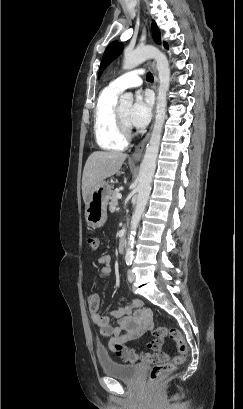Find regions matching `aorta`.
<instances>
[{"label":"aorta","instance_id":"aorta-1","mask_svg":"<svg viewBox=\"0 0 243 409\" xmlns=\"http://www.w3.org/2000/svg\"><path fill=\"white\" fill-rule=\"evenodd\" d=\"M151 58L156 62L159 79L156 115L151 137L146 146L145 154L140 165L138 176L139 183L137 186L138 197L131 220L130 234L125 255L126 258H131L133 255L132 248L134 236L149 199L151 182L156 169V160L166 117L167 93L170 86V67L166 55L153 46L137 47L133 51L126 50L124 52L123 69L125 70L135 68ZM119 102L121 105L131 106L133 103V95L131 93H124L120 96Z\"/></svg>","mask_w":243,"mask_h":409}]
</instances>
